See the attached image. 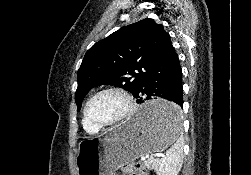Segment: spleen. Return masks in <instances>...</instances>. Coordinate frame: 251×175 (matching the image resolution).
<instances>
[{
	"label": "spleen",
	"mask_w": 251,
	"mask_h": 175,
	"mask_svg": "<svg viewBox=\"0 0 251 175\" xmlns=\"http://www.w3.org/2000/svg\"><path fill=\"white\" fill-rule=\"evenodd\" d=\"M180 109L172 107L167 119L170 129L173 133V145L166 151L165 157L162 159H153V167L157 171V175H177L182 167L183 155V139L180 125Z\"/></svg>",
	"instance_id": "obj_1"
}]
</instances>
